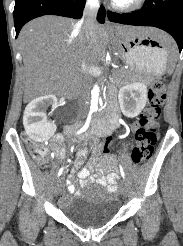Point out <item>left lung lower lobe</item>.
<instances>
[{
    "label": "left lung lower lobe",
    "mask_w": 183,
    "mask_h": 246,
    "mask_svg": "<svg viewBox=\"0 0 183 246\" xmlns=\"http://www.w3.org/2000/svg\"><path fill=\"white\" fill-rule=\"evenodd\" d=\"M107 15L111 22L160 28L173 36L180 52L183 49V0H145L137 12Z\"/></svg>",
    "instance_id": "obj_1"
}]
</instances>
